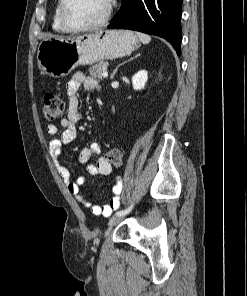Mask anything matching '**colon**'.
<instances>
[{
  "mask_svg": "<svg viewBox=\"0 0 247 296\" xmlns=\"http://www.w3.org/2000/svg\"><path fill=\"white\" fill-rule=\"evenodd\" d=\"M65 105L60 95L56 93H46L44 96L43 114L47 120H56L64 113ZM107 161L114 168H121L123 165L122 153L117 148H112L106 153Z\"/></svg>",
  "mask_w": 247,
  "mask_h": 296,
  "instance_id": "obj_1",
  "label": "colon"
}]
</instances>
